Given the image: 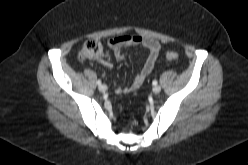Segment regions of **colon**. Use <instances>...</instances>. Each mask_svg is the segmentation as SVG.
I'll return each instance as SVG.
<instances>
[{"mask_svg":"<svg viewBox=\"0 0 248 165\" xmlns=\"http://www.w3.org/2000/svg\"><path fill=\"white\" fill-rule=\"evenodd\" d=\"M104 55V48L101 42L97 40H88L82 45L78 58L81 61H91L98 59ZM168 60L174 61L178 59L176 52L170 51L166 54Z\"/></svg>","mask_w":248,"mask_h":165,"instance_id":"1","label":"colon"}]
</instances>
